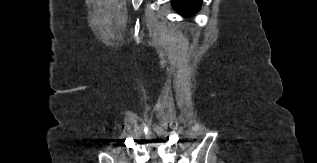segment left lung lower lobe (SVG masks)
Instances as JSON below:
<instances>
[{"instance_id": "left-lung-lower-lobe-1", "label": "left lung lower lobe", "mask_w": 317, "mask_h": 163, "mask_svg": "<svg viewBox=\"0 0 317 163\" xmlns=\"http://www.w3.org/2000/svg\"><path fill=\"white\" fill-rule=\"evenodd\" d=\"M202 0H172L171 4L180 14L189 16L198 12Z\"/></svg>"}]
</instances>
